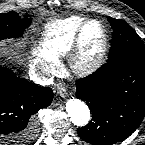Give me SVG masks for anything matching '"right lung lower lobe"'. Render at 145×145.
<instances>
[{
  "instance_id": "1",
  "label": "right lung lower lobe",
  "mask_w": 145,
  "mask_h": 145,
  "mask_svg": "<svg viewBox=\"0 0 145 145\" xmlns=\"http://www.w3.org/2000/svg\"><path fill=\"white\" fill-rule=\"evenodd\" d=\"M52 100L51 88L37 86L11 69L0 67L1 143L29 145L37 132L35 114Z\"/></svg>"
}]
</instances>
